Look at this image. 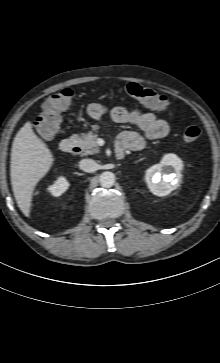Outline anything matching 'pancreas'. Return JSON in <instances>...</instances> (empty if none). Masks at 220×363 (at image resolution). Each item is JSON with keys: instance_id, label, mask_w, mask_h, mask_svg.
I'll list each match as a JSON object with an SVG mask.
<instances>
[{"instance_id": "obj_1", "label": "pancreas", "mask_w": 220, "mask_h": 363, "mask_svg": "<svg viewBox=\"0 0 220 363\" xmlns=\"http://www.w3.org/2000/svg\"><path fill=\"white\" fill-rule=\"evenodd\" d=\"M97 136L98 135L94 134L93 132H89L88 134H83L79 136V145L86 155H91L99 152V148L96 143Z\"/></svg>"}]
</instances>
